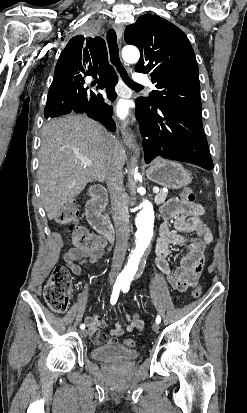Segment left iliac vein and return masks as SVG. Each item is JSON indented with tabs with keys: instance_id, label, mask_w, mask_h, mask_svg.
Masks as SVG:
<instances>
[{
	"instance_id": "4c4485c4",
	"label": "left iliac vein",
	"mask_w": 247,
	"mask_h": 413,
	"mask_svg": "<svg viewBox=\"0 0 247 413\" xmlns=\"http://www.w3.org/2000/svg\"><path fill=\"white\" fill-rule=\"evenodd\" d=\"M152 329L156 332L159 331V324L154 323L153 326H152Z\"/></svg>"
}]
</instances>
